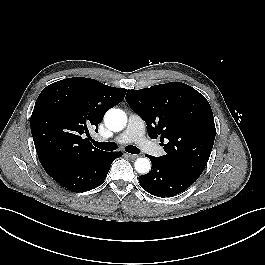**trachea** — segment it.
Here are the masks:
<instances>
[{
    "instance_id": "3493384b",
    "label": "trachea",
    "mask_w": 265,
    "mask_h": 265,
    "mask_svg": "<svg viewBox=\"0 0 265 265\" xmlns=\"http://www.w3.org/2000/svg\"><path fill=\"white\" fill-rule=\"evenodd\" d=\"M91 141L94 144V146L102 150L113 151L118 148L117 144H115L114 142H97L95 140H91ZM125 151L131 154H138L140 152V150L133 145L126 146Z\"/></svg>"
}]
</instances>
